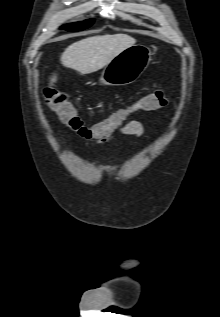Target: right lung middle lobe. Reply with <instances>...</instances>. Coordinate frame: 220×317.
<instances>
[{"mask_svg":"<svg viewBox=\"0 0 220 317\" xmlns=\"http://www.w3.org/2000/svg\"><path fill=\"white\" fill-rule=\"evenodd\" d=\"M93 22H94V19H88L83 22H77L73 24L64 25L62 28L70 32H76V31H81L90 27L93 24Z\"/></svg>","mask_w":220,"mask_h":317,"instance_id":"right-lung-middle-lobe-1","label":"right lung middle lobe"}]
</instances>
